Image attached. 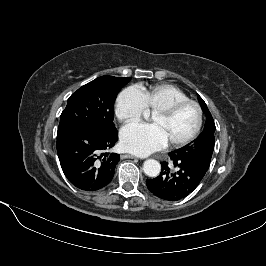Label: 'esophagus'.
<instances>
[{"mask_svg":"<svg viewBox=\"0 0 266 266\" xmlns=\"http://www.w3.org/2000/svg\"><path fill=\"white\" fill-rule=\"evenodd\" d=\"M124 157H125V158H131V159H135V158H137L136 156H134V155H130V154H126V155H124Z\"/></svg>","mask_w":266,"mask_h":266,"instance_id":"34e87169","label":"esophagus"}]
</instances>
